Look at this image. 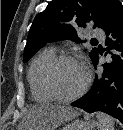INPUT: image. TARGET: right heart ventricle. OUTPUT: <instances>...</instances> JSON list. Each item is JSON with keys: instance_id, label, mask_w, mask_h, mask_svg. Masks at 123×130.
Here are the masks:
<instances>
[{"instance_id": "e07e8e85", "label": "right heart ventricle", "mask_w": 123, "mask_h": 130, "mask_svg": "<svg viewBox=\"0 0 123 130\" xmlns=\"http://www.w3.org/2000/svg\"><path fill=\"white\" fill-rule=\"evenodd\" d=\"M56 50L52 47L42 49L32 60L27 79L34 101L38 103H48L54 101L46 86V70L51 61L56 57Z\"/></svg>"}]
</instances>
